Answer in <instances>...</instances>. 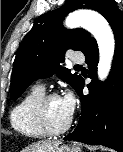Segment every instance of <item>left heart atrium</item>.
I'll list each match as a JSON object with an SVG mask.
<instances>
[{
  "label": "left heart atrium",
  "instance_id": "39dd6f15",
  "mask_svg": "<svg viewBox=\"0 0 123 152\" xmlns=\"http://www.w3.org/2000/svg\"><path fill=\"white\" fill-rule=\"evenodd\" d=\"M62 103L69 117L72 116L75 109V98L71 92H67L62 98Z\"/></svg>",
  "mask_w": 123,
  "mask_h": 152
}]
</instances>
